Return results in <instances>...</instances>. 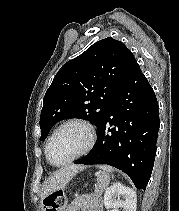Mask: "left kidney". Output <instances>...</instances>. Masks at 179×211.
<instances>
[{"instance_id": "left-kidney-1", "label": "left kidney", "mask_w": 179, "mask_h": 211, "mask_svg": "<svg viewBox=\"0 0 179 211\" xmlns=\"http://www.w3.org/2000/svg\"><path fill=\"white\" fill-rule=\"evenodd\" d=\"M120 196L123 197V201L119 199ZM104 205L106 209H112L108 211H119L120 208H123V211H136V192L126 186L113 184L106 188Z\"/></svg>"}]
</instances>
